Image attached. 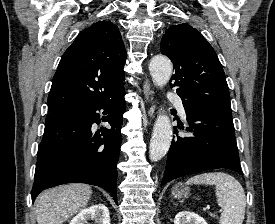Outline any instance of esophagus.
<instances>
[{"instance_id": "34e87169", "label": "esophagus", "mask_w": 275, "mask_h": 224, "mask_svg": "<svg viewBox=\"0 0 275 224\" xmlns=\"http://www.w3.org/2000/svg\"><path fill=\"white\" fill-rule=\"evenodd\" d=\"M143 94H144L145 101H148L152 94L150 82L147 79L143 83Z\"/></svg>"}]
</instances>
